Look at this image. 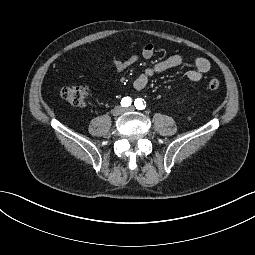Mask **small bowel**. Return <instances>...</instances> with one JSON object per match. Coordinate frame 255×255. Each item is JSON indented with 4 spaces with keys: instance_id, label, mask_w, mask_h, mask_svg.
Listing matches in <instances>:
<instances>
[{
    "instance_id": "small-bowel-1",
    "label": "small bowel",
    "mask_w": 255,
    "mask_h": 255,
    "mask_svg": "<svg viewBox=\"0 0 255 255\" xmlns=\"http://www.w3.org/2000/svg\"><path fill=\"white\" fill-rule=\"evenodd\" d=\"M142 57L144 59H151L155 54V47L153 44H146L142 49ZM137 60L136 56L130 57L126 61L115 60L113 62L114 67L118 71H123L134 64ZM186 58L181 54H174L166 59L158 61L148 67H146L142 73H140L133 81V87L136 91H142L147 87L150 80L157 74L163 73L167 70L178 67L184 63ZM194 68L186 72V78L189 81L196 82L201 80L203 74L207 73L211 69V63L204 57H192L190 58Z\"/></svg>"
}]
</instances>
